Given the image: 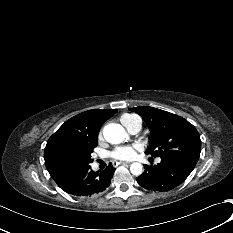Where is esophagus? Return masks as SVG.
<instances>
[{
    "label": "esophagus",
    "instance_id": "esophagus-1",
    "mask_svg": "<svg viewBox=\"0 0 233 233\" xmlns=\"http://www.w3.org/2000/svg\"><path fill=\"white\" fill-rule=\"evenodd\" d=\"M120 164L125 165V164H128V163L127 162H120Z\"/></svg>",
    "mask_w": 233,
    "mask_h": 233
}]
</instances>
